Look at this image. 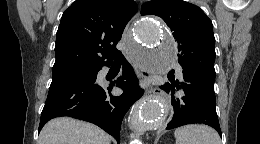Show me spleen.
Masks as SVG:
<instances>
[{"label":"spleen","mask_w":260,"mask_h":144,"mask_svg":"<svg viewBox=\"0 0 260 144\" xmlns=\"http://www.w3.org/2000/svg\"><path fill=\"white\" fill-rule=\"evenodd\" d=\"M176 144H220L218 133L206 125L192 124L179 127L174 132Z\"/></svg>","instance_id":"obj_1"}]
</instances>
